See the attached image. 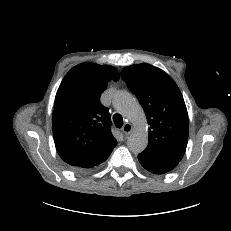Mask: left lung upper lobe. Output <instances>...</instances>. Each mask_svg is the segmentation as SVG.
Returning <instances> with one entry per match:
<instances>
[{
	"label": "left lung upper lobe",
	"instance_id": "obj_1",
	"mask_svg": "<svg viewBox=\"0 0 231 231\" xmlns=\"http://www.w3.org/2000/svg\"><path fill=\"white\" fill-rule=\"evenodd\" d=\"M121 77L139 99L150 125L148 146L142 153L179 162L187 147L189 121L174 80L145 63L123 68Z\"/></svg>",
	"mask_w": 231,
	"mask_h": 231
}]
</instances>
